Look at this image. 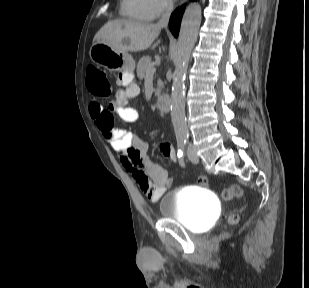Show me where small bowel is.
<instances>
[{
	"label": "small bowel",
	"instance_id": "obj_1",
	"mask_svg": "<svg viewBox=\"0 0 309 288\" xmlns=\"http://www.w3.org/2000/svg\"><path fill=\"white\" fill-rule=\"evenodd\" d=\"M119 82L121 88L117 91L115 100L107 108L92 102L89 106L90 114L103 139L119 154L123 168L146 197L151 202H157L170 185L168 174L164 168L149 161L148 144L145 140L130 130L114 127V114L128 123H135L140 119L139 112L127 105L129 100L138 95V85L127 76H121ZM160 151L166 158L176 161V152L170 143H161ZM142 167L146 168V173Z\"/></svg>",
	"mask_w": 309,
	"mask_h": 288
}]
</instances>
